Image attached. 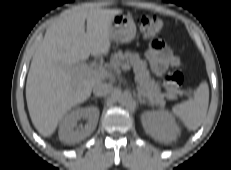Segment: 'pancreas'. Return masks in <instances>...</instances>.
<instances>
[{
	"instance_id": "cf45deb5",
	"label": "pancreas",
	"mask_w": 231,
	"mask_h": 170,
	"mask_svg": "<svg viewBox=\"0 0 231 170\" xmlns=\"http://www.w3.org/2000/svg\"><path fill=\"white\" fill-rule=\"evenodd\" d=\"M125 64L133 67L135 81L140 88L147 93L150 101L160 107H164V98L167 95L160 92V86L150 77L146 62L140 59L139 54L129 50L123 53L120 50L111 56L109 67L112 71L118 72Z\"/></svg>"
}]
</instances>
